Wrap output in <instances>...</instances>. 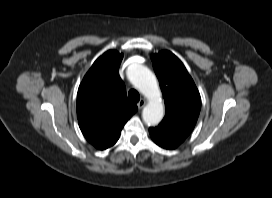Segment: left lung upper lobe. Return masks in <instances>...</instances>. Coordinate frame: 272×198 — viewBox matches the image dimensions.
<instances>
[{
  "mask_svg": "<svg viewBox=\"0 0 272 198\" xmlns=\"http://www.w3.org/2000/svg\"><path fill=\"white\" fill-rule=\"evenodd\" d=\"M151 59L165 99L166 113L159 125L188 136L201 109L199 91L183 63L172 52L161 51Z\"/></svg>",
  "mask_w": 272,
  "mask_h": 198,
  "instance_id": "obj_1",
  "label": "left lung upper lobe"
}]
</instances>
